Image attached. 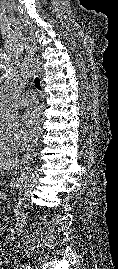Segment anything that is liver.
<instances>
[{"mask_svg": "<svg viewBox=\"0 0 118 269\" xmlns=\"http://www.w3.org/2000/svg\"><path fill=\"white\" fill-rule=\"evenodd\" d=\"M19 159L9 154L0 155V168L11 170L17 166Z\"/></svg>", "mask_w": 118, "mask_h": 269, "instance_id": "6515ba94", "label": "liver"}]
</instances>
